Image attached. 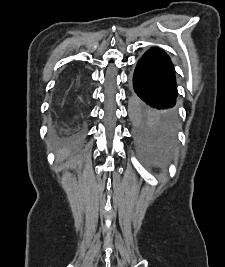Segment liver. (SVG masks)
<instances>
[{
    "label": "liver",
    "mask_w": 225,
    "mask_h": 267,
    "mask_svg": "<svg viewBox=\"0 0 225 267\" xmlns=\"http://www.w3.org/2000/svg\"><path fill=\"white\" fill-rule=\"evenodd\" d=\"M70 155L69 151L66 149H61L57 152V160L58 161H63Z\"/></svg>",
    "instance_id": "obj_1"
}]
</instances>
